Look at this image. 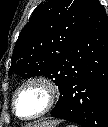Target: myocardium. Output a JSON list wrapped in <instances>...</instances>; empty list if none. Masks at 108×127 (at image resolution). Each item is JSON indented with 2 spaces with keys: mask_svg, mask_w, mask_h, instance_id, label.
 <instances>
[{
  "mask_svg": "<svg viewBox=\"0 0 108 127\" xmlns=\"http://www.w3.org/2000/svg\"><path fill=\"white\" fill-rule=\"evenodd\" d=\"M32 86L39 87L44 91L46 96V101L44 106L35 114L29 116H22L17 111V107H16L17 98L25 89ZM58 96H59L58 87L49 77L44 75L32 76L24 80L15 90L12 96V109L15 115L20 119L23 120L37 119L43 116L44 114L48 113L55 106Z\"/></svg>",
  "mask_w": 108,
  "mask_h": 127,
  "instance_id": "1",
  "label": "myocardium"
}]
</instances>
